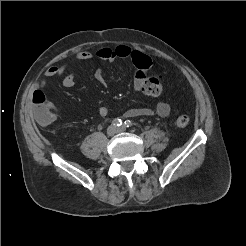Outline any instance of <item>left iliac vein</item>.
<instances>
[{"label": "left iliac vein", "instance_id": "4c4485c4", "mask_svg": "<svg viewBox=\"0 0 246 246\" xmlns=\"http://www.w3.org/2000/svg\"><path fill=\"white\" fill-rule=\"evenodd\" d=\"M117 131H118V132H123V131H125V127L122 126V127L118 128Z\"/></svg>", "mask_w": 246, "mask_h": 246}]
</instances>
